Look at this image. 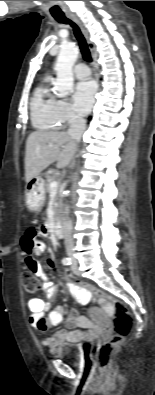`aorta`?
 I'll list each match as a JSON object with an SVG mask.
<instances>
[{
  "instance_id": "762f6f07",
  "label": "aorta",
  "mask_w": 155,
  "mask_h": 395,
  "mask_svg": "<svg viewBox=\"0 0 155 395\" xmlns=\"http://www.w3.org/2000/svg\"><path fill=\"white\" fill-rule=\"evenodd\" d=\"M78 48L71 44H63L55 64L56 80L54 82V94L57 97H65L73 91L74 76L72 68L78 57ZM69 207H65L68 214Z\"/></svg>"
}]
</instances>
